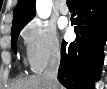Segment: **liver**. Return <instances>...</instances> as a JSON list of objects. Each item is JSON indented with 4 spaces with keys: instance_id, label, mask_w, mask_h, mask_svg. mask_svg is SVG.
Masks as SVG:
<instances>
[{
    "instance_id": "liver-1",
    "label": "liver",
    "mask_w": 107,
    "mask_h": 89,
    "mask_svg": "<svg viewBox=\"0 0 107 89\" xmlns=\"http://www.w3.org/2000/svg\"><path fill=\"white\" fill-rule=\"evenodd\" d=\"M61 86L58 84V89ZM9 89H50L48 80L43 74L20 78L14 81Z\"/></svg>"
}]
</instances>
